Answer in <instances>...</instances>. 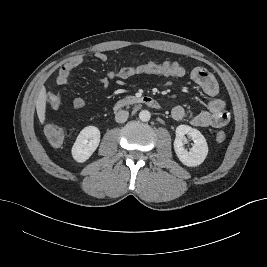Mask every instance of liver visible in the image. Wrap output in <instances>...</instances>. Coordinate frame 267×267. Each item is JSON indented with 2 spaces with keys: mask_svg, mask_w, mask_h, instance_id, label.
I'll use <instances>...</instances> for the list:
<instances>
[{
  "mask_svg": "<svg viewBox=\"0 0 267 267\" xmlns=\"http://www.w3.org/2000/svg\"><path fill=\"white\" fill-rule=\"evenodd\" d=\"M46 101H47L46 89L45 87H42L39 92L38 99L36 101L37 115L41 124H44L45 122Z\"/></svg>",
  "mask_w": 267,
  "mask_h": 267,
  "instance_id": "1",
  "label": "liver"
}]
</instances>
